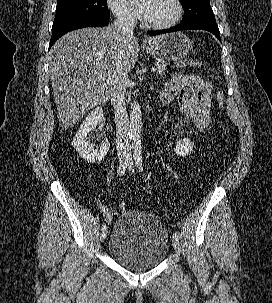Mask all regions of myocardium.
<instances>
[{"label": "myocardium", "instance_id": "f54148a6", "mask_svg": "<svg viewBox=\"0 0 272 303\" xmlns=\"http://www.w3.org/2000/svg\"><path fill=\"white\" fill-rule=\"evenodd\" d=\"M175 7H176V13L175 16L168 22L166 23H161V24H157V23H151L148 20L145 19V17L143 16L142 21H143V25L146 28L149 29H155V30H165V29H169L173 26H175L181 19L182 15H183V5L181 0H173Z\"/></svg>", "mask_w": 272, "mask_h": 303}]
</instances>
